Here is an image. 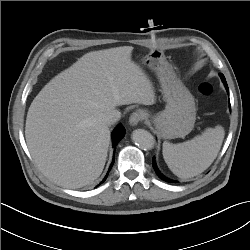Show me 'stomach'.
Returning a JSON list of instances; mask_svg holds the SVG:
<instances>
[{"instance_id": "0dacf381", "label": "stomach", "mask_w": 250, "mask_h": 250, "mask_svg": "<svg viewBox=\"0 0 250 250\" xmlns=\"http://www.w3.org/2000/svg\"><path fill=\"white\" fill-rule=\"evenodd\" d=\"M142 63L156 72L167 102L163 111L151 117L157 134L164 139L185 137L196 120L194 97L177 78L163 53L151 51Z\"/></svg>"}]
</instances>
